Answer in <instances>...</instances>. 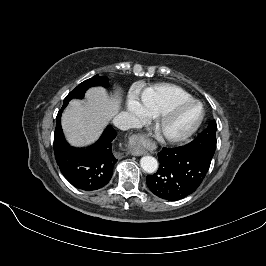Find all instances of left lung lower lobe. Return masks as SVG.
I'll return each mask as SVG.
<instances>
[{"label":"left lung lower lobe","mask_w":266,"mask_h":266,"mask_svg":"<svg viewBox=\"0 0 266 266\" xmlns=\"http://www.w3.org/2000/svg\"><path fill=\"white\" fill-rule=\"evenodd\" d=\"M159 170L146 177L150 191L156 196L175 201L193 193L205 178L210 162L189 148H163L158 153Z\"/></svg>","instance_id":"obj_1"}]
</instances>
